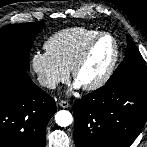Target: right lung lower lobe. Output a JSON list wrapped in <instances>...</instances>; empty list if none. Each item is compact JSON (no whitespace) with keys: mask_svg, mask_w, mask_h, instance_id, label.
I'll list each match as a JSON object with an SVG mask.
<instances>
[{"mask_svg":"<svg viewBox=\"0 0 147 147\" xmlns=\"http://www.w3.org/2000/svg\"><path fill=\"white\" fill-rule=\"evenodd\" d=\"M54 99L25 70L0 62V147H43Z\"/></svg>","mask_w":147,"mask_h":147,"instance_id":"1","label":"right lung lower lobe"}]
</instances>
